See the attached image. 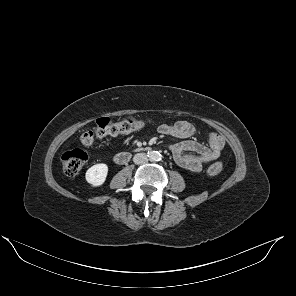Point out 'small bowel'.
<instances>
[{
    "label": "small bowel",
    "mask_w": 296,
    "mask_h": 296,
    "mask_svg": "<svg viewBox=\"0 0 296 296\" xmlns=\"http://www.w3.org/2000/svg\"><path fill=\"white\" fill-rule=\"evenodd\" d=\"M157 131L162 135L184 139L170 145L169 149L175 163L191 172H200L204 164L218 159L224 148L223 138L216 133L208 134L206 145L195 140L197 129L186 120L161 124L158 126Z\"/></svg>",
    "instance_id": "obj_1"
}]
</instances>
